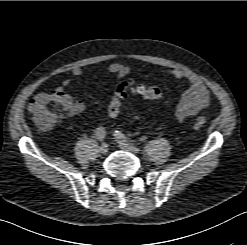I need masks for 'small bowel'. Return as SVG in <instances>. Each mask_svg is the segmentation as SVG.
I'll list each match as a JSON object with an SVG mask.
<instances>
[{
    "label": "small bowel",
    "instance_id": "1",
    "mask_svg": "<svg viewBox=\"0 0 247 245\" xmlns=\"http://www.w3.org/2000/svg\"><path fill=\"white\" fill-rule=\"evenodd\" d=\"M107 72L115 76L118 81L130 73V68L122 63H112L107 67ZM74 77H79L83 73L81 67H74L71 71ZM166 75L177 79L184 80L187 83V88L182 93L179 101L175 106V116L179 121L185 120L187 117L197 114L210 104L209 91L203 81L193 72L169 68L164 70ZM71 85L70 79H65L62 86L51 90V94H61L68 101V109L66 116H77L85 110V104L81 100H74L69 94L65 92V88ZM41 93L39 95H42ZM38 96V95H37Z\"/></svg>",
    "mask_w": 247,
    "mask_h": 245
}]
</instances>
